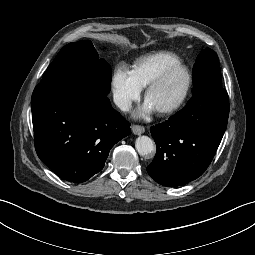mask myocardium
<instances>
[{
	"instance_id": "f54148a6",
	"label": "myocardium",
	"mask_w": 255,
	"mask_h": 255,
	"mask_svg": "<svg viewBox=\"0 0 255 255\" xmlns=\"http://www.w3.org/2000/svg\"><path fill=\"white\" fill-rule=\"evenodd\" d=\"M183 70L186 73V77H187V82H186V86L185 89L182 93V95L173 103L162 107L160 109H157L156 112L159 114H170L173 113L175 111H177L178 109H180L186 102V100L189 97V94L191 92V88H192V73L190 71V69L184 65L181 62H177L174 64H171L169 66H167L166 68H164L147 86L145 89V93H144V99L146 100L148 95L155 89L157 88L165 79L166 77L172 73L175 70Z\"/></svg>"
}]
</instances>
